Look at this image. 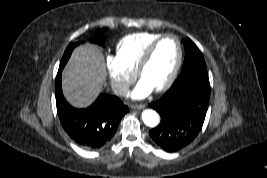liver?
<instances>
[{"label":"liver","instance_id":"1","mask_svg":"<svg viewBox=\"0 0 267 178\" xmlns=\"http://www.w3.org/2000/svg\"><path fill=\"white\" fill-rule=\"evenodd\" d=\"M106 83L102 51L89 43L74 49L63 71V92L76 107H86L98 96Z\"/></svg>","mask_w":267,"mask_h":178}]
</instances>
